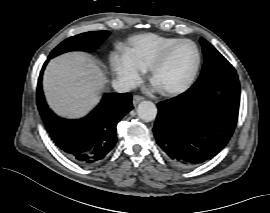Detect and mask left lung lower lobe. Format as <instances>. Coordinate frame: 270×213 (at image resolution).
<instances>
[{"instance_id":"left-lung-lower-lobe-1","label":"left lung lower lobe","mask_w":270,"mask_h":213,"mask_svg":"<svg viewBox=\"0 0 270 213\" xmlns=\"http://www.w3.org/2000/svg\"><path fill=\"white\" fill-rule=\"evenodd\" d=\"M239 102L240 85L235 69L159 102L153 128L156 142L174 165H200L228 143L237 123Z\"/></svg>"}]
</instances>
